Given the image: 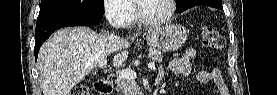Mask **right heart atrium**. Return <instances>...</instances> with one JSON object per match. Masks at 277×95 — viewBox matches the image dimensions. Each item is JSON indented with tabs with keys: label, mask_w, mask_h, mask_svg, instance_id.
I'll use <instances>...</instances> for the list:
<instances>
[{
	"label": "right heart atrium",
	"mask_w": 277,
	"mask_h": 95,
	"mask_svg": "<svg viewBox=\"0 0 277 95\" xmlns=\"http://www.w3.org/2000/svg\"><path fill=\"white\" fill-rule=\"evenodd\" d=\"M102 8L107 20L116 27L123 26L131 14L126 0H103Z\"/></svg>",
	"instance_id": "right-heart-atrium-1"
}]
</instances>
